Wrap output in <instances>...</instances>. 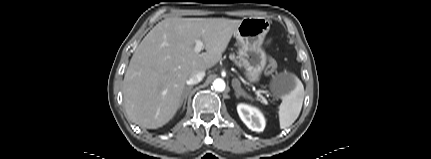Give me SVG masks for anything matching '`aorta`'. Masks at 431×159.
I'll return each mask as SVG.
<instances>
[{
    "mask_svg": "<svg viewBox=\"0 0 431 159\" xmlns=\"http://www.w3.org/2000/svg\"><path fill=\"white\" fill-rule=\"evenodd\" d=\"M213 87L216 91L222 92L225 90L226 84H225L224 80L218 78V79L214 80Z\"/></svg>",
    "mask_w": 431,
    "mask_h": 159,
    "instance_id": "aorta-1",
    "label": "aorta"
}]
</instances>
